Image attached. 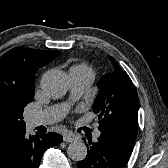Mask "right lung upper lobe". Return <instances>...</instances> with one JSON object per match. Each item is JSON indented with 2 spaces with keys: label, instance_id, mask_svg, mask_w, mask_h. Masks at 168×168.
Returning <instances> with one entry per match:
<instances>
[{
  "label": "right lung upper lobe",
  "instance_id": "right-lung-upper-lobe-1",
  "mask_svg": "<svg viewBox=\"0 0 168 168\" xmlns=\"http://www.w3.org/2000/svg\"><path fill=\"white\" fill-rule=\"evenodd\" d=\"M60 51L16 47L0 57V148L25 129L17 117L23 97L35 85L38 68L58 57Z\"/></svg>",
  "mask_w": 168,
  "mask_h": 168
}]
</instances>
